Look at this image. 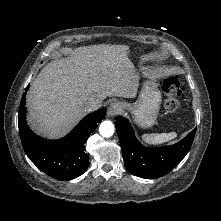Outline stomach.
Returning <instances> with one entry per match:
<instances>
[{
    "instance_id": "stomach-1",
    "label": "stomach",
    "mask_w": 221,
    "mask_h": 221,
    "mask_svg": "<svg viewBox=\"0 0 221 221\" xmlns=\"http://www.w3.org/2000/svg\"><path fill=\"white\" fill-rule=\"evenodd\" d=\"M160 104L161 92L151 78L144 80L136 103H122L123 107L132 113L135 123L142 128L151 127L156 123Z\"/></svg>"
}]
</instances>
